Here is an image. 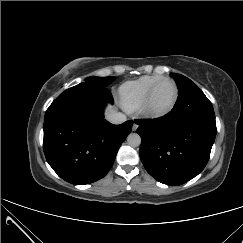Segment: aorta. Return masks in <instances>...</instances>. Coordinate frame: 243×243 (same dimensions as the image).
Wrapping results in <instances>:
<instances>
[{"label": "aorta", "mask_w": 243, "mask_h": 243, "mask_svg": "<svg viewBox=\"0 0 243 243\" xmlns=\"http://www.w3.org/2000/svg\"><path fill=\"white\" fill-rule=\"evenodd\" d=\"M127 143L132 147H138L141 144V137L137 133H131L127 137Z\"/></svg>", "instance_id": "obj_1"}]
</instances>
